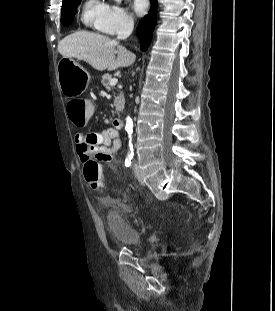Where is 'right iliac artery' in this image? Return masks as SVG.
Instances as JSON below:
<instances>
[{
    "mask_svg": "<svg viewBox=\"0 0 275 311\" xmlns=\"http://www.w3.org/2000/svg\"><path fill=\"white\" fill-rule=\"evenodd\" d=\"M132 160H133V154H128L126 159H125V166L129 167L132 164Z\"/></svg>",
    "mask_w": 275,
    "mask_h": 311,
    "instance_id": "1",
    "label": "right iliac artery"
}]
</instances>
